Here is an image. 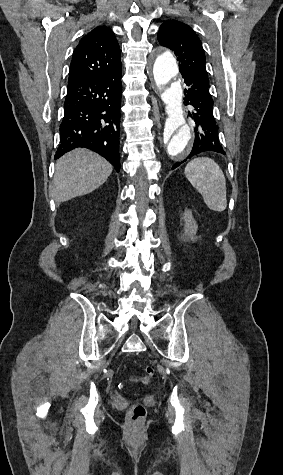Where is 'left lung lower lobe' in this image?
<instances>
[{"mask_svg":"<svg viewBox=\"0 0 283 475\" xmlns=\"http://www.w3.org/2000/svg\"><path fill=\"white\" fill-rule=\"evenodd\" d=\"M188 86L184 90L186 105L193 107L189 116L194 121L195 140L188 158L206 151H214L225 155L218 136V125L213 116V99L208 90V75L184 70L180 71ZM184 161L173 165L175 169Z\"/></svg>","mask_w":283,"mask_h":475,"instance_id":"left-lung-lower-lobe-1","label":"left lung lower lobe"}]
</instances>
